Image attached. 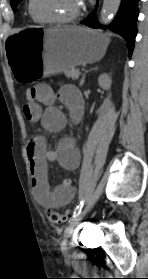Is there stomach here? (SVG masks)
Listing matches in <instances>:
<instances>
[{
  "instance_id": "stomach-1",
  "label": "stomach",
  "mask_w": 148,
  "mask_h": 279,
  "mask_svg": "<svg viewBox=\"0 0 148 279\" xmlns=\"http://www.w3.org/2000/svg\"><path fill=\"white\" fill-rule=\"evenodd\" d=\"M6 39L10 78L27 87L43 82L47 73L99 61L106 53L109 38L98 31L75 26L44 29L31 26L15 30Z\"/></svg>"
}]
</instances>
